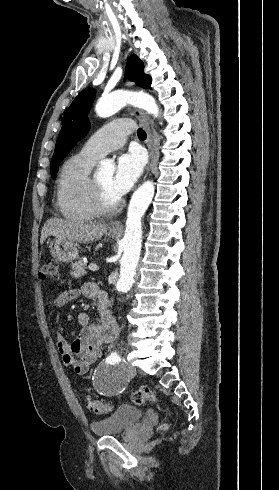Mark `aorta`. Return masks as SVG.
Returning <instances> with one entry per match:
<instances>
[{
    "mask_svg": "<svg viewBox=\"0 0 279 490\" xmlns=\"http://www.w3.org/2000/svg\"><path fill=\"white\" fill-rule=\"evenodd\" d=\"M127 104L138 106L155 117L159 115L158 105L152 96L145 93H130L127 91H116L101 97L96 104L95 110L98 116L105 118L115 114ZM114 169V164L110 160H105L101 163V171L103 173L111 175ZM154 192V183L146 181L134 192L130 200L125 234L122 239L123 255L120 260V275L116 283V289L120 292H128L134 283L142 245L141 220L153 199Z\"/></svg>",
    "mask_w": 279,
    "mask_h": 490,
    "instance_id": "aorta-1",
    "label": "aorta"
}]
</instances>
